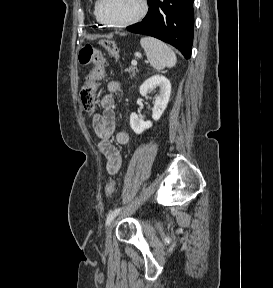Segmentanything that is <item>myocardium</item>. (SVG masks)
<instances>
[{
	"label": "myocardium",
	"instance_id": "myocardium-1",
	"mask_svg": "<svg viewBox=\"0 0 273 288\" xmlns=\"http://www.w3.org/2000/svg\"><path fill=\"white\" fill-rule=\"evenodd\" d=\"M103 1L104 0H97L96 17L98 21H100L102 24L108 27H112V28H122V27H128L130 25H133L139 22L140 20H142L148 12L147 0H140V10L135 16L125 21L110 22L104 19V17L102 16L101 8H102Z\"/></svg>",
	"mask_w": 273,
	"mask_h": 288
}]
</instances>
